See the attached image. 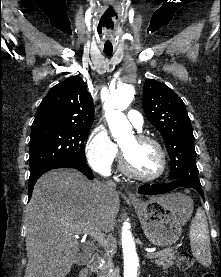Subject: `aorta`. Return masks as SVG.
Instances as JSON below:
<instances>
[{
    "mask_svg": "<svg viewBox=\"0 0 221 277\" xmlns=\"http://www.w3.org/2000/svg\"><path fill=\"white\" fill-rule=\"evenodd\" d=\"M135 90L130 84L118 87L104 104L105 116L112 135L120 141L131 133V125L123 114L134 98ZM124 261V277H139L140 257L130 225L124 222L120 229Z\"/></svg>",
    "mask_w": 221,
    "mask_h": 277,
    "instance_id": "1",
    "label": "aorta"
}]
</instances>
